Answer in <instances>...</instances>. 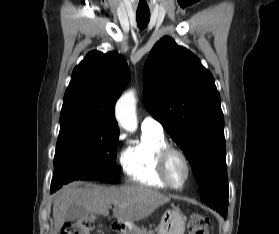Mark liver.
Masks as SVG:
<instances>
[{
    "label": "liver",
    "instance_id": "obj_1",
    "mask_svg": "<svg viewBox=\"0 0 279 234\" xmlns=\"http://www.w3.org/2000/svg\"><path fill=\"white\" fill-rule=\"evenodd\" d=\"M170 198L142 185L104 187L99 185L78 187L69 184L59 190L53 201L54 234H58L66 221L69 207L78 204L89 213L109 215L114 204L113 216L120 223L139 221L151 215L155 209L168 203Z\"/></svg>",
    "mask_w": 279,
    "mask_h": 234
}]
</instances>
